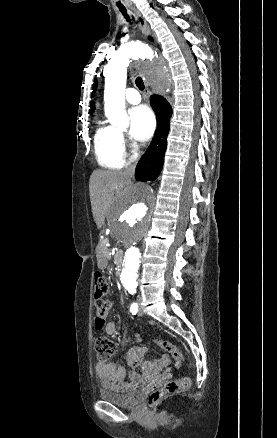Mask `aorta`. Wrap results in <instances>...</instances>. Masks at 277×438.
I'll list each match as a JSON object with an SVG mask.
<instances>
[{
    "label": "aorta",
    "mask_w": 277,
    "mask_h": 438,
    "mask_svg": "<svg viewBox=\"0 0 277 438\" xmlns=\"http://www.w3.org/2000/svg\"><path fill=\"white\" fill-rule=\"evenodd\" d=\"M152 57L153 52L150 47L143 43L132 42L121 46L107 64L104 91L105 114L112 125L125 128L129 124L125 111L127 66L133 59ZM144 74L150 84L161 92L169 91L170 77L164 67L148 68ZM154 211V192L145 183H138L127 189L110 211L111 233L124 251L121 282L129 293H134L138 285L140 244L151 227Z\"/></svg>",
    "instance_id": "762f6f07"
}]
</instances>
